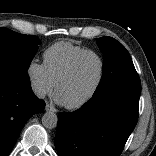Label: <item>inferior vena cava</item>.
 <instances>
[{
  "label": "inferior vena cava",
  "mask_w": 156,
  "mask_h": 156,
  "mask_svg": "<svg viewBox=\"0 0 156 156\" xmlns=\"http://www.w3.org/2000/svg\"><path fill=\"white\" fill-rule=\"evenodd\" d=\"M32 90L38 98H44L46 95L45 87L38 82H32Z\"/></svg>",
  "instance_id": "inferior-vena-cava-1"
}]
</instances>
